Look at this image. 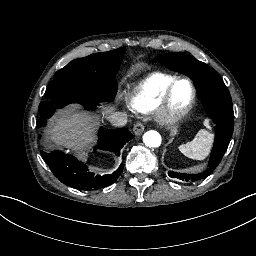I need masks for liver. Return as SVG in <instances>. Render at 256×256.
<instances>
[{"instance_id":"6515ba94","label":"liver","mask_w":256,"mask_h":256,"mask_svg":"<svg viewBox=\"0 0 256 256\" xmlns=\"http://www.w3.org/2000/svg\"><path fill=\"white\" fill-rule=\"evenodd\" d=\"M79 108L78 104H70L65 110H60L59 115L53 116L46 130L47 138L67 147H84L93 143L100 116L80 111ZM114 111V106L101 105L99 112L106 117Z\"/></svg>"}]
</instances>
